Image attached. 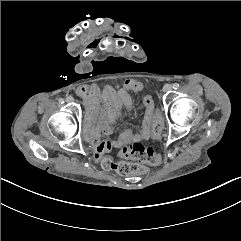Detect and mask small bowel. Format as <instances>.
<instances>
[{
  "label": "small bowel",
  "instance_id": "c3829d8e",
  "mask_svg": "<svg viewBox=\"0 0 241 241\" xmlns=\"http://www.w3.org/2000/svg\"><path fill=\"white\" fill-rule=\"evenodd\" d=\"M142 91L140 83L128 80L118 90L111 86L100 89L96 85L82 86L77 95L84 99L87 108L88 139L95 148V159H100L112 149L125 150L134 143L146 142L151 136V127L155 120V104L151 96L144 95L145 114L139 132L123 131L115 139L100 140L101 134L111 135L119 117L131 105L129 91Z\"/></svg>",
  "mask_w": 241,
  "mask_h": 241
}]
</instances>
